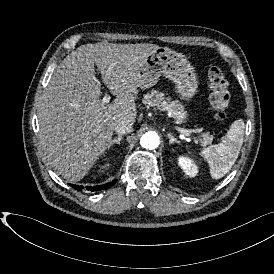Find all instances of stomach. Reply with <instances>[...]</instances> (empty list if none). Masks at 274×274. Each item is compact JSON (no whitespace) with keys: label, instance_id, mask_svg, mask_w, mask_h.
<instances>
[{"label":"stomach","instance_id":"obj_1","mask_svg":"<svg viewBox=\"0 0 274 274\" xmlns=\"http://www.w3.org/2000/svg\"><path fill=\"white\" fill-rule=\"evenodd\" d=\"M139 88L154 86L161 75L175 84L180 99L189 101L197 93L198 77L194 67L182 54L168 47H158L138 70Z\"/></svg>","mask_w":274,"mask_h":274}]
</instances>
